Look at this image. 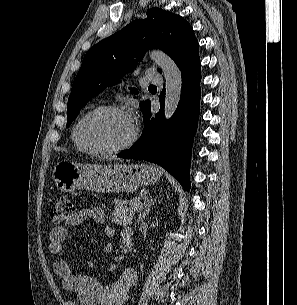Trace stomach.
I'll list each match as a JSON object with an SVG mask.
<instances>
[{
	"mask_svg": "<svg viewBox=\"0 0 297 305\" xmlns=\"http://www.w3.org/2000/svg\"><path fill=\"white\" fill-rule=\"evenodd\" d=\"M161 170L147 164H80L63 160L52 171L55 186L63 193L77 189L129 193L157 182Z\"/></svg>",
	"mask_w": 297,
	"mask_h": 305,
	"instance_id": "0dacf381",
	"label": "stomach"
}]
</instances>
